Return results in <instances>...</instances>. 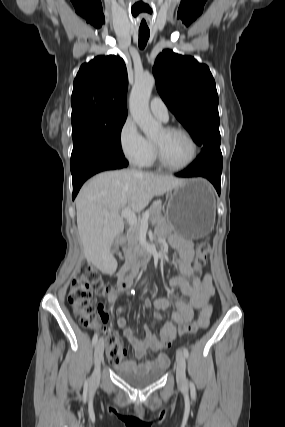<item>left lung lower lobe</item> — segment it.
Wrapping results in <instances>:
<instances>
[{"label":"left lung lower lobe","mask_w":285,"mask_h":427,"mask_svg":"<svg viewBox=\"0 0 285 427\" xmlns=\"http://www.w3.org/2000/svg\"><path fill=\"white\" fill-rule=\"evenodd\" d=\"M222 162L221 151H204L186 170L175 175L177 177H205L213 183L220 194Z\"/></svg>","instance_id":"0a47b994"}]
</instances>
